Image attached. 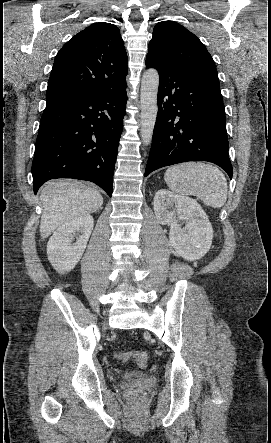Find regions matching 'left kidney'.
<instances>
[{
	"mask_svg": "<svg viewBox=\"0 0 271 443\" xmlns=\"http://www.w3.org/2000/svg\"><path fill=\"white\" fill-rule=\"evenodd\" d=\"M153 206L158 223L170 225V243L178 255L187 261H195L209 251L213 237L212 225L196 200L177 196L168 190H158ZM180 220L185 223L183 229L178 223Z\"/></svg>",
	"mask_w": 271,
	"mask_h": 443,
	"instance_id": "5707ae66",
	"label": "left kidney"
}]
</instances>
